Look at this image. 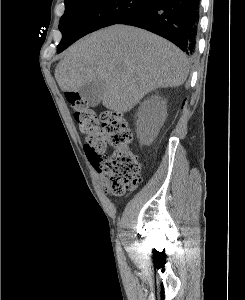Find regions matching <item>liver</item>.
<instances>
[{"mask_svg":"<svg viewBox=\"0 0 245 300\" xmlns=\"http://www.w3.org/2000/svg\"><path fill=\"white\" fill-rule=\"evenodd\" d=\"M188 73L186 55L171 42L116 24L72 45L58 63L55 78L64 92H78L83 85L104 79L102 104L126 113L151 91L181 86Z\"/></svg>","mask_w":245,"mask_h":300,"instance_id":"6515ba94","label":"liver"}]
</instances>
